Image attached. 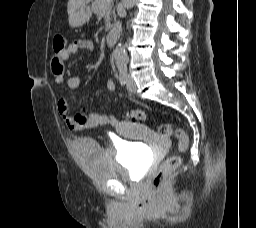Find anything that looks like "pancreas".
Listing matches in <instances>:
<instances>
[{
    "instance_id": "obj_1",
    "label": "pancreas",
    "mask_w": 256,
    "mask_h": 228,
    "mask_svg": "<svg viewBox=\"0 0 256 228\" xmlns=\"http://www.w3.org/2000/svg\"><path fill=\"white\" fill-rule=\"evenodd\" d=\"M92 10L96 15H100L101 13L104 14V18L106 21V30L110 29V16L113 15L115 19V14L112 11V2L106 3L104 0H94V2L92 3Z\"/></svg>"
}]
</instances>
